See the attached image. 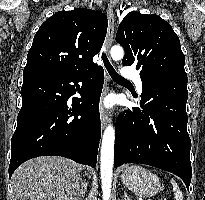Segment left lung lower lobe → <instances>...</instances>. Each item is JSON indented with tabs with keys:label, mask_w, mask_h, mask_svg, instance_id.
<instances>
[{
	"label": "left lung lower lobe",
	"mask_w": 205,
	"mask_h": 200,
	"mask_svg": "<svg viewBox=\"0 0 205 200\" xmlns=\"http://www.w3.org/2000/svg\"><path fill=\"white\" fill-rule=\"evenodd\" d=\"M187 74L169 73L142 80L141 108L116 122L114 167L152 165L179 176L189 189L192 168L187 132Z\"/></svg>",
	"instance_id": "0a47b994"
}]
</instances>
